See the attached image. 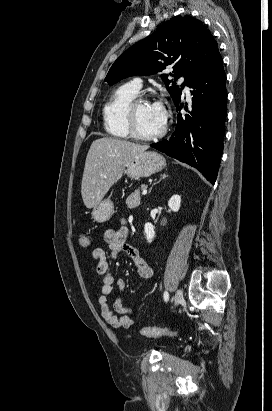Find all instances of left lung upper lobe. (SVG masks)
I'll use <instances>...</instances> for the list:
<instances>
[{
    "mask_svg": "<svg viewBox=\"0 0 272 411\" xmlns=\"http://www.w3.org/2000/svg\"><path fill=\"white\" fill-rule=\"evenodd\" d=\"M218 52V44L202 22L190 16H177L164 23L147 38L128 48L112 65L105 81L113 85L134 75H152L166 66L175 80L184 76L181 87L168 74H162L174 103L185 85L193 82Z\"/></svg>",
    "mask_w": 272,
    "mask_h": 411,
    "instance_id": "left-lung-upper-lobe-1",
    "label": "left lung upper lobe"
}]
</instances>
